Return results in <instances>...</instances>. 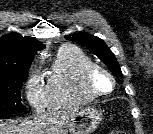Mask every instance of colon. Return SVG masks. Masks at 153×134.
<instances>
[{"label": "colon", "instance_id": "colon-1", "mask_svg": "<svg viewBox=\"0 0 153 134\" xmlns=\"http://www.w3.org/2000/svg\"><path fill=\"white\" fill-rule=\"evenodd\" d=\"M109 134H124V133H122V132H111Z\"/></svg>", "mask_w": 153, "mask_h": 134}]
</instances>
